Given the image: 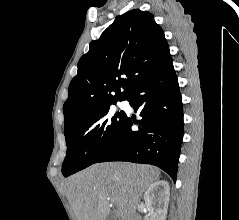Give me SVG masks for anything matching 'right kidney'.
I'll list each match as a JSON object with an SVG mask.
<instances>
[{"instance_id": "ca27d5eb", "label": "right kidney", "mask_w": 239, "mask_h": 220, "mask_svg": "<svg viewBox=\"0 0 239 220\" xmlns=\"http://www.w3.org/2000/svg\"><path fill=\"white\" fill-rule=\"evenodd\" d=\"M170 187L167 181H156L144 194V201L150 220H166Z\"/></svg>"}]
</instances>
